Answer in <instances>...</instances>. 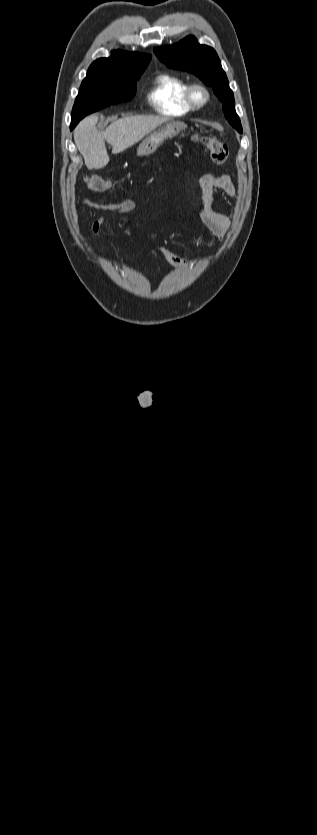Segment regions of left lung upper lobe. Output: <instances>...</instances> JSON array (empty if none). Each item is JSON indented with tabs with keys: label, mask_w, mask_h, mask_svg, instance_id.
I'll list each match as a JSON object with an SVG mask.
<instances>
[{
	"label": "left lung upper lobe",
	"mask_w": 317,
	"mask_h": 835,
	"mask_svg": "<svg viewBox=\"0 0 317 835\" xmlns=\"http://www.w3.org/2000/svg\"><path fill=\"white\" fill-rule=\"evenodd\" d=\"M154 52L168 67L193 73L211 86L223 103V112L228 122L239 133L243 132L234 107L233 92L213 48L200 45L195 37L189 36L175 45L156 48Z\"/></svg>",
	"instance_id": "1"
}]
</instances>
